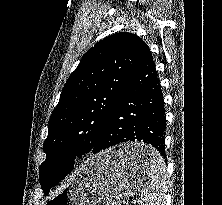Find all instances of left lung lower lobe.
Segmentation results:
<instances>
[{"label":"left lung lower lobe","mask_w":222,"mask_h":205,"mask_svg":"<svg viewBox=\"0 0 222 205\" xmlns=\"http://www.w3.org/2000/svg\"><path fill=\"white\" fill-rule=\"evenodd\" d=\"M165 127L161 85L147 46L131 72L91 152L97 153L127 141H142L151 144L166 158ZM152 159L153 155L147 151H136L129 157L128 162L144 166L150 165ZM73 165L74 159L67 153L58 158L56 168L68 174Z\"/></svg>","instance_id":"0a47b994"}]
</instances>
